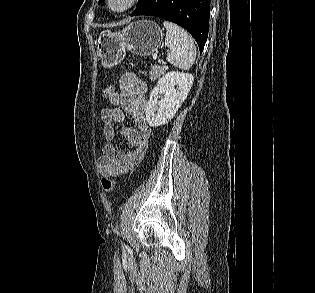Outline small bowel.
<instances>
[{
  "label": "small bowel",
  "mask_w": 315,
  "mask_h": 293,
  "mask_svg": "<svg viewBox=\"0 0 315 293\" xmlns=\"http://www.w3.org/2000/svg\"><path fill=\"white\" fill-rule=\"evenodd\" d=\"M120 91H113L107 98L111 107L103 108L101 119L104 123L103 133L108 141L98 159V168L102 176L108 178L125 174L143 157L152 129L147 123L145 111L147 106L146 83L134 73L127 72L119 80ZM134 118L135 127L123 126L121 134L131 144L126 152L116 149L112 141L115 138V124L121 123L126 116Z\"/></svg>",
  "instance_id": "c3829d8e"
}]
</instances>
